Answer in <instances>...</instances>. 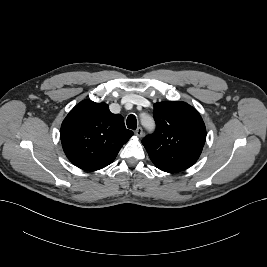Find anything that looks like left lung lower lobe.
Here are the masks:
<instances>
[{
	"label": "left lung lower lobe",
	"mask_w": 267,
	"mask_h": 267,
	"mask_svg": "<svg viewBox=\"0 0 267 267\" xmlns=\"http://www.w3.org/2000/svg\"><path fill=\"white\" fill-rule=\"evenodd\" d=\"M165 172H169V173H175V172H179V171H173V170H163Z\"/></svg>",
	"instance_id": "left-lung-lower-lobe-1"
}]
</instances>
